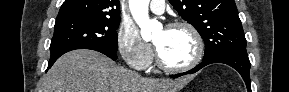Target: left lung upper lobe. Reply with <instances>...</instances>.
Instances as JSON below:
<instances>
[{
    "label": "left lung upper lobe",
    "instance_id": "1",
    "mask_svg": "<svg viewBox=\"0 0 289 92\" xmlns=\"http://www.w3.org/2000/svg\"><path fill=\"white\" fill-rule=\"evenodd\" d=\"M205 42L204 58L246 51V39L234 0H169Z\"/></svg>",
    "mask_w": 289,
    "mask_h": 92
}]
</instances>
